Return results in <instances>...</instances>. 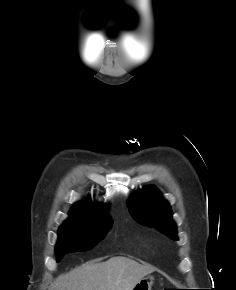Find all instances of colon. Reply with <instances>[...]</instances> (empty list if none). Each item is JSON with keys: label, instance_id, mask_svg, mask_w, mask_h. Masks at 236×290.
I'll list each match as a JSON object with an SVG mask.
<instances>
[{"label": "colon", "instance_id": "5ec220e1", "mask_svg": "<svg viewBox=\"0 0 236 290\" xmlns=\"http://www.w3.org/2000/svg\"><path fill=\"white\" fill-rule=\"evenodd\" d=\"M163 290H174V289H163Z\"/></svg>", "mask_w": 236, "mask_h": 290}]
</instances>
